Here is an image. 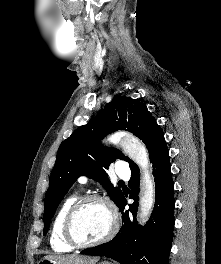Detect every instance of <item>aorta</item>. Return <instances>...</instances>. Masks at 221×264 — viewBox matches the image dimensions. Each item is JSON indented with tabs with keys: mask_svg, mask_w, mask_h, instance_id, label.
I'll list each match as a JSON object with an SVG mask.
<instances>
[{
	"mask_svg": "<svg viewBox=\"0 0 221 264\" xmlns=\"http://www.w3.org/2000/svg\"><path fill=\"white\" fill-rule=\"evenodd\" d=\"M110 143H120L123 151L140 167L143 177L140 184V200L137 220L143 224L149 218L155 202V184L150 172V161L147 149L137 139L129 135L112 136Z\"/></svg>",
	"mask_w": 221,
	"mask_h": 264,
	"instance_id": "1",
	"label": "aorta"
}]
</instances>
